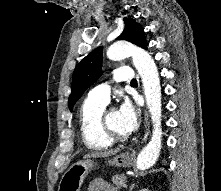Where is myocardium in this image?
<instances>
[{"label":"myocardium","mask_w":221,"mask_h":191,"mask_svg":"<svg viewBox=\"0 0 221 191\" xmlns=\"http://www.w3.org/2000/svg\"><path fill=\"white\" fill-rule=\"evenodd\" d=\"M103 125H104V128L109 136V138L113 141V142H125L129 139V136L128 135H125V134H121L119 132H117L116 130H114L109 122H108V115H106L104 118H103Z\"/></svg>","instance_id":"f54148a6"}]
</instances>
